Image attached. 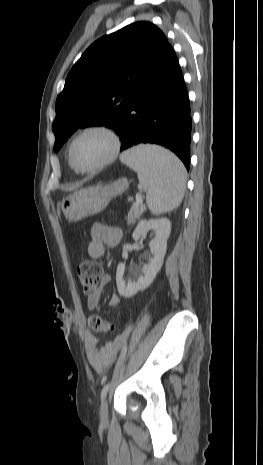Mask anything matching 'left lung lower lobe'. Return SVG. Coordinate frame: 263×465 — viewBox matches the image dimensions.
Returning a JSON list of instances; mask_svg holds the SVG:
<instances>
[{
	"label": "left lung lower lobe",
	"instance_id": "left-lung-lower-lobe-1",
	"mask_svg": "<svg viewBox=\"0 0 263 465\" xmlns=\"http://www.w3.org/2000/svg\"><path fill=\"white\" fill-rule=\"evenodd\" d=\"M190 106L176 55L168 44L132 89L118 130L121 151L139 143L162 145L190 167Z\"/></svg>",
	"mask_w": 263,
	"mask_h": 465
}]
</instances>
